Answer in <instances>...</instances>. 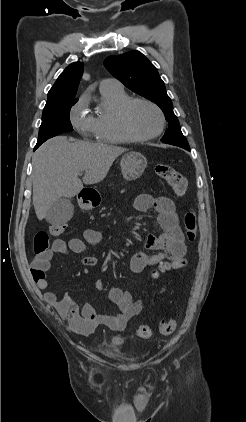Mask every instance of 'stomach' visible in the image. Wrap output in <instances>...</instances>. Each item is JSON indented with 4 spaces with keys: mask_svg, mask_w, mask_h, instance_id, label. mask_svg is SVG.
Here are the masks:
<instances>
[{
    "mask_svg": "<svg viewBox=\"0 0 246 422\" xmlns=\"http://www.w3.org/2000/svg\"><path fill=\"white\" fill-rule=\"evenodd\" d=\"M120 166L123 178L126 181H133L138 179L144 172L147 166V159L143 154L132 151L122 157ZM87 202L83 206L90 208L91 203L90 201Z\"/></svg>",
    "mask_w": 246,
    "mask_h": 422,
    "instance_id": "0dacf381",
    "label": "stomach"
}]
</instances>
